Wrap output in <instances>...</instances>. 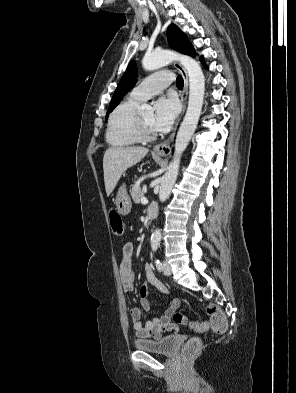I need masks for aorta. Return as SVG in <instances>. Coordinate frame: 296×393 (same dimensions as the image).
<instances>
[{
	"label": "aorta",
	"instance_id": "1",
	"mask_svg": "<svg viewBox=\"0 0 296 393\" xmlns=\"http://www.w3.org/2000/svg\"><path fill=\"white\" fill-rule=\"evenodd\" d=\"M177 60L185 68L189 76V97L185 117L180 125L175 141L173 160L169 164L165 175L162 177L159 200L164 202L169 197L176 182L182 153L194 134L201 115L204 93L205 77L200 64L190 56L177 54L169 50L154 51L145 55L142 60L143 68L147 71L157 70ZM141 112H152V107L143 104L139 107ZM161 240V231L156 229L151 236V242L158 244Z\"/></svg>",
	"mask_w": 296,
	"mask_h": 393
}]
</instances>
